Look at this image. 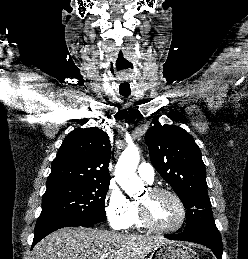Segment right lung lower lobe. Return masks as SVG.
Listing matches in <instances>:
<instances>
[{
	"label": "right lung lower lobe",
	"instance_id": "1",
	"mask_svg": "<svg viewBox=\"0 0 248 259\" xmlns=\"http://www.w3.org/2000/svg\"><path fill=\"white\" fill-rule=\"evenodd\" d=\"M96 224H85L73 220L61 219V218H48L44 220H38L35 227V234L33 239V246L43 239L46 235L51 232L68 226H82V227H93Z\"/></svg>",
	"mask_w": 248,
	"mask_h": 259
}]
</instances>
